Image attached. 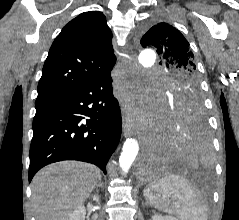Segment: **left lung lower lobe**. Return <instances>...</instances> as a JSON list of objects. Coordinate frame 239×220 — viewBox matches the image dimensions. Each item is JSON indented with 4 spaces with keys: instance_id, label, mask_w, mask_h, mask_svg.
<instances>
[{
    "instance_id": "left-lung-lower-lobe-1",
    "label": "left lung lower lobe",
    "mask_w": 239,
    "mask_h": 220,
    "mask_svg": "<svg viewBox=\"0 0 239 220\" xmlns=\"http://www.w3.org/2000/svg\"><path fill=\"white\" fill-rule=\"evenodd\" d=\"M210 154V139L204 112L164 108L159 119L157 140L145 153L141 170L155 173L173 165L196 163Z\"/></svg>"
}]
</instances>
